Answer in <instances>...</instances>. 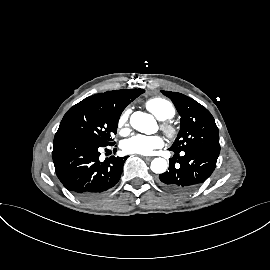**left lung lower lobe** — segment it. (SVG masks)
Returning <instances> with one entry per match:
<instances>
[{"instance_id": "obj_1", "label": "left lung lower lobe", "mask_w": 270, "mask_h": 270, "mask_svg": "<svg viewBox=\"0 0 270 270\" xmlns=\"http://www.w3.org/2000/svg\"><path fill=\"white\" fill-rule=\"evenodd\" d=\"M169 161V171L159 175L160 185L176 194H187L197 189L212 174L219 155L202 151H184L183 156L174 152ZM176 158L180 165L175 166Z\"/></svg>"}]
</instances>
